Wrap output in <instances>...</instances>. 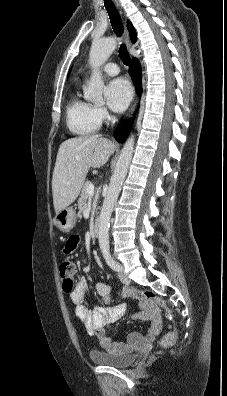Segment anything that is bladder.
Returning <instances> with one entry per match:
<instances>
[{
  "instance_id": "bladder-1",
  "label": "bladder",
  "mask_w": 227,
  "mask_h": 396,
  "mask_svg": "<svg viewBox=\"0 0 227 396\" xmlns=\"http://www.w3.org/2000/svg\"><path fill=\"white\" fill-rule=\"evenodd\" d=\"M90 360L97 365L111 366L115 368L130 367L137 359L135 353H117L103 350H93L89 353Z\"/></svg>"
}]
</instances>
